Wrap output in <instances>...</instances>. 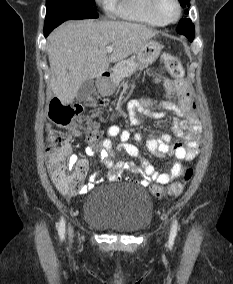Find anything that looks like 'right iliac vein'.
Here are the masks:
<instances>
[{"instance_id":"63e3f726","label":"right iliac vein","mask_w":233,"mask_h":284,"mask_svg":"<svg viewBox=\"0 0 233 284\" xmlns=\"http://www.w3.org/2000/svg\"><path fill=\"white\" fill-rule=\"evenodd\" d=\"M69 236H70V238H72V237H73V230H72V228H71V227H69Z\"/></svg>"}]
</instances>
